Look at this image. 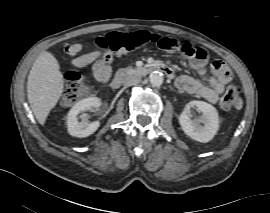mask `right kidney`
Returning <instances> with one entry per match:
<instances>
[{"mask_svg":"<svg viewBox=\"0 0 270 213\" xmlns=\"http://www.w3.org/2000/svg\"><path fill=\"white\" fill-rule=\"evenodd\" d=\"M101 106V101L97 97H89L83 100L78 101L68 112L67 115V128L68 133L74 137H87L93 134L100 123L98 121H94L92 123L87 122H79V114L85 110L90 108H99Z\"/></svg>","mask_w":270,"mask_h":213,"instance_id":"1","label":"right kidney"}]
</instances>
